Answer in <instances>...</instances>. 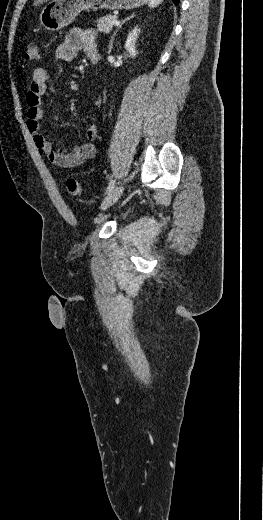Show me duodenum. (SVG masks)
Listing matches in <instances>:
<instances>
[{
  "instance_id": "410a0bca",
  "label": "duodenum",
  "mask_w": 263,
  "mask_h": 520,
  "mask_svg": "<svg viewBox=\"0 0 263 520\" xmlns=\"http://www.w3.org/2000/svg\"><path fill=\"white\" fill-rule=\"evenodd\" d=\"M91 59V61L94 63V64H97L98 63V60H99V55L97 53H93L90 55L89 57Z\"/></svg>"
}]
</instances>
